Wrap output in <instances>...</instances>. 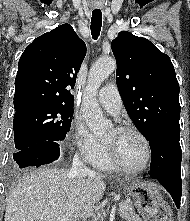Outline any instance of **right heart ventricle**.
<instances>
[{"instance_id":"e07e8e85","label":"right heart ventricle","mask_w":190,"mask_h":221,"mask_svg":"<svg viewBox=\"0 0 190 221\" xmlns=\"http://www.w3.org/2000/svg\"><path fill=\"white\" fill-rule=\"evenodd\" d=\"M90 164L103 171H111V170H117L118 168L111 162L110 158L108 157V154L106 152L104 143L101 142V147L99 152L92 158L90 161Z\"/></svg>"}]
</instances>
